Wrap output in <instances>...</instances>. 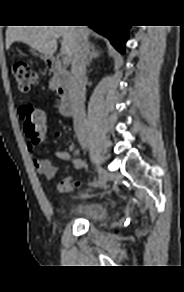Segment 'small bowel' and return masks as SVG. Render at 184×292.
<instances>
[{
	"label": "small bowel",
	"mask_w": 184,
	"mask_h": 292,
	"mask_svg": "<svg viewBox=\"0 0 184 292\" xmlns=\"http://www.w3.org/2000/svg\"><path fill=\"white\" fill-rule=\"evenodd\" d=\"M27 145L29 150L32 151L34 145L30 139L27 140ZM69 150L70 151L58 150L54 153V155L60 160L70 162L75 169H81L84 163L79 155V150L76 148L75 144L72 141L69 142ZM33 162L36 171L39 174L43 175L45 178L50 180L55 176L57 172V167L54 166L50 161L33 157ZM71 188L72 185L69 178L62 179L58 184V190L62 193L70 191Z\"/></svg>",
	"instance_id": "c3829d8e"
}]
</instances>
